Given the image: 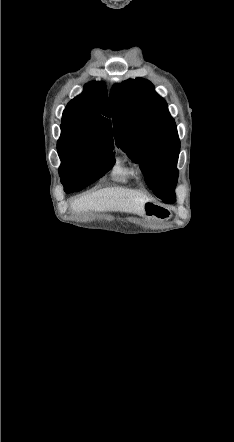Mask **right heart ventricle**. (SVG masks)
I'll list each match as a JSON object with an SVG mask.
<instances>
[{
	"instance_id": "obj_1",
	"label": "right heart ventricle",
	"mask_w": 234,
	"mask_h": 442,
	"mask_svg": "<svg viewBox=\"0 0 234 442\" xmlns=\"http://www.w3.org/2000/svg\"><path fill=\"white\" fill-rule=\"evenodd\" d=\"M112 173L119 177H132L136 175V168L129 162H119L113 167Z\"/></svg>"
}]
</instances>
